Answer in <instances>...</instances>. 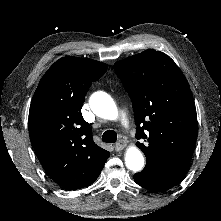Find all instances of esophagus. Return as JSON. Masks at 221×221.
Here are the masks:
<instances>
[{
  "mask_svg": "<svg viewBox=\"0 0 221 221\" xmlns=\"http://www.w3.org/2000/svg\"><path fill=\"white\" fill-rule=\"evenodd\" d=\"M126 141L125 140H119L116 145H115V150L116 151H121L126 147Z\"/></svg>",
  "mask_w": 221,
  "mask_h": 221,
  "instance_id": "esophagus-1",
  "label": "esophagus"
}]
</instances>
